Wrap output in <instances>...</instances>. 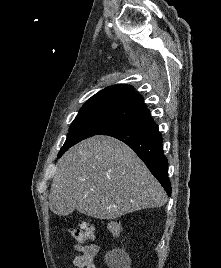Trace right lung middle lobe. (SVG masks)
<instances>
[{
  "label": "right lung middle lobe",
  "mask_w": 221,
  "mask_h": 268,
  "mask_svg": "<svg viewBox=\"0 0 221 268\" xmlns=\"http://www.w3.org/2000/svg\"><path fill=\"white\" fill-rule=\"evenodd\" d=\"M125 122L121 116L105 111H80L72 122L67 139L58 153L61 157L70 147L90 136Z\"/></svg>",
  "instance_id": "obj_1"
}]
</instances>
